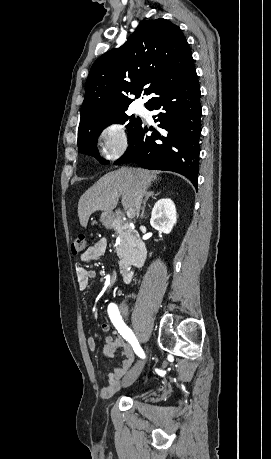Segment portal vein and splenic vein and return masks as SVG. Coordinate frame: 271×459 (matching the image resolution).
<instances>
[{"mask_svg":"<svg viewBox=\"0 0 271 459\" xmlns=\"http://www.w3.org/2000/svg\"><path fill=\"white\" fill-rule=\"evenodd\" d=\"M133 214H134V210H127L128 218H132Z\"/></svg>","mask_w":271,"mask_h":459,"instance_id":"1","label":"portal vein and splenic vein"}]
</instances>
